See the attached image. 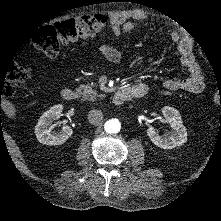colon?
<instances>
[{"instance_id":"5ec220e1","label":"colon","mask_w":221,"mask_h":221,"mask_svg":"<svg viewBox=\"0 0 221 221\" xmlns=\"http://www.w3.org/2000/svg\"><path fill=\"white\" fill-rule=\"evenodd\" d=\"M108 26L103 15L71 18L47 24L38 28L32 36V45L47 57L55 58L61 46H67L78 39H100ZM30 69L21 65L10 68L2 80L3 94L12 95L29 79Z\"/></svg>"}]
</instances>
